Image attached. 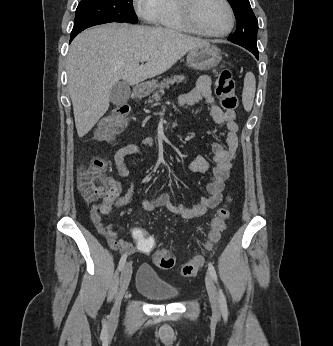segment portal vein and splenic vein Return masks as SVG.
I'll use <instances>...</instances> for the list:
<instances>
[{
  "instance_id": "obj_1",
  "label": "portal vein and splenic vein",
  "mask_w": 333,
  "mask_h": 346,
  "mask_svg": "<svg viewBox=\"0 0 333 346\" xmlns=\"http://www.w3.org/2000/svg\"><path fill=\"white\" fill-rule=\"evenodd\" d=\"M148 59H149L148 56H143V57L141 58V62H146V61H148Z\"/></svg>"
}]
</instances>
